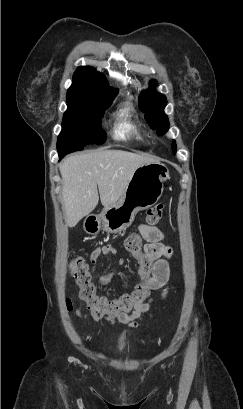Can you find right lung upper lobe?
<instances>
[{
  "mask_svg": "<svg viewBox=\"0 0 243 409\" xmlns=\"http://www.w3.org/2000/svg\"><path fill=\"white\" fill-rule=\"evenodd\" d=\"M107 88L108 84L103 74L90 66H80L75 71L73 83L67 91V100H104L114 97L118 93V90L109 92Z\"/></svg>",
  "mask_w": 243,
  "mask_h": 409,
  "instance_id": "obj_1",
  "label": "right lung upper lobe"
}]
</instances>
